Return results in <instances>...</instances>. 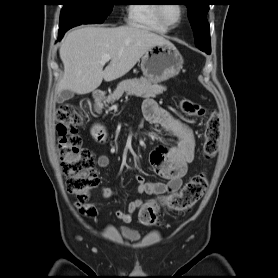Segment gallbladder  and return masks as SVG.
Returning a JSON list of instances; mask_svg holds the SVG:
<instances>
[{
    "label": "gallbladder",
    "instance_id": "bac80fb5",
    "mask_svg": "<svg viewBox=\"0 0 278 278\" xmlns=\"http://www.w3.org/2000/svg\"><path fill=\"white\" fill-rule=\"evenodd\" d=\"M73 97H74V92H72L70 90H63L58 93L56 100H57V103H63L65 101L70 100Z\"/></svg>",
    "mask_w": 278,
    "mask_h": 278
}]
</instances>
